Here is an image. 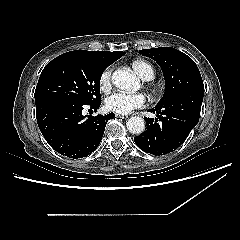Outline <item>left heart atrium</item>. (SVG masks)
Returning <instances> with one entry per match:
<instances>
[{
  "label": "left heart atrium",
  "instance_id": "left-heart-atrium-1",
  "mask_svg": "<svg viewBox=\"0 0 240 240\" xmlns=\"http://www.w3.org/2000/svg\"><path fill=\"white\" fill-rule=\"evenodd\" d=\"M146 103V97L141 93H126L116 91L106 98V107L118 114H129L133 110L141 108Z\"/></svg>",
  "mask_w": 240,
  "mask_h": 240
}]
</instances>
